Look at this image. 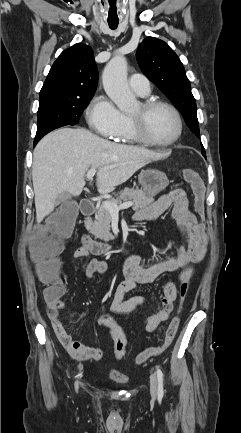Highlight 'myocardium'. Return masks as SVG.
<instances>
[{"mask_svg":"<svg viewBox=\"0 0 241 433\" xmlns=\"http://www.w3.org/2000/svg\"><path fill=\"white\" fill-rule=\"evenodd\" d=\"M140 106L142 109V114L140 116H133L131 114L129 115L132 130H133L135 136L137 137V139L139 140V142L144 143V144L149 145V146H154V147H169V146L174 145L181 138L182 133H183V121H182V117H181L179 111L177 110V108L175 106H173L169 102H166L163 100H158V99L144 100V101L140 102ZM158 107H165V108L169 109L173 113V115L175 116V119L177 121V133L173 139H171L170 141H167V142H158V141L153 140L148 135L147 130H146V124L145 123H146L147 115L152 110H154L155 108H158Z\"/></svg>","mask_w":241,"mask_h":433,"instance_id":"myocardium-1","label":"myocardium"}]
</instances>
